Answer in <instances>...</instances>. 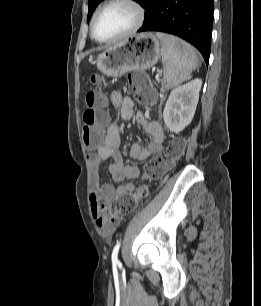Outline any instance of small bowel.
Instances as JSON below:
<instances>
[{"instance_id":"obj_1","label":"small bowel","mask_w":261,"mask_h":306,"mask_svg":"<svg viewBox=\"0 0 261 306\" xmlns=\"http://www.w3.org/2000/svg\"><path fill=\"white\" fill-rule=\"evenodd\" d=\"M110 104L113 107H119L121 117L124 120H135L142 130L150 136L151 140L143 146L134 143L130 150V156L134 160H146L152 153L159 152L162 149L164 133L161 126L152 120L147 119L142 113L135 111L134 101L118 91H112L109 97ZM121 134L117 125L112 124L107 128L104 143L96 152L88 154V163L90 169V209L92 217L105 236H111L114 227L109 223L106 212L107 206L111 200L119 195L131 192L135 189L133 182L114 187L110 183H103L100 180V168L103 162L112 159L109 164V172L116 183L124 180L137 178L139 171L136 167L125 164L120 153Z\"/></svg>"}]
</instances>
